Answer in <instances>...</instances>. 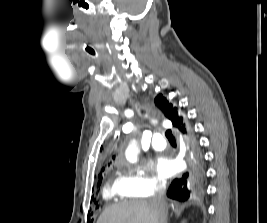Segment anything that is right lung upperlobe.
Listing matches in <instances>:
<instances>
[{
  "instance_id": "1",
  "label": "right lung upper lobe",
  "mask_w": 267,
  "mask_h": 223,
  "mask_svg": "<svg viewBox=\"0 0 267 223\" xmlns=\"http://www.w3.org/2000/svg\"><path fill=\"white\" fill-rule=\"evenodd\" d=\"M156 106L172 122L174 128L180 132L186 127L187 123L181 111L174 107L165 97L159 94L155 98Z\"/></svg>"
}]
</instances>
